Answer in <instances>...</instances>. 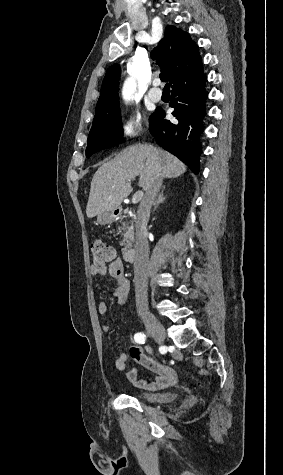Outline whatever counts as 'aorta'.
<instances>
[{
	"label": "aorta",
	"instance_id": "1",
	"mask_svg": "<svg viewBox=\"0 0 283 475\" xmlns=\"http://www.w3.org/2000/svg\"><path fill=\"white\" fill-rule=\"evenodd\" d=\"M136 91V82L133 78H127L122 89V96L125 101L132 100Z\"/></svg>",
	"mask_w": 283,
	"mask_h": 475
}]
</instances>
